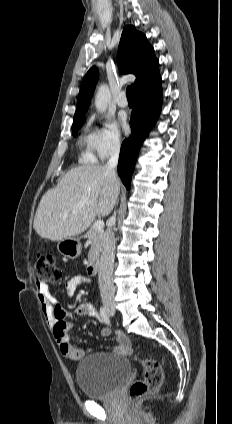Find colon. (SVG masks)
Here are the masks:
<instances>
[{
    "label": "colon",
    "mask_w": 232,
    "mask_h": 424,
    "mask_svg": "<svg viewBox=\"0 0 232 424\" xmlns=\"http://www.w3.org/2000/svg\"><path fill=\"white\" fill-rule=\"evenodd\" d=\"M35 260V278L38 282L55 283L62 279V272L53 255L38 252ZM140 362L144 377L130 386L128 395L131 402L155 394L163 380L162 368L157 360L145 358Z\"/></svg>",
    "instance_id": "1"
}]
</instances>
